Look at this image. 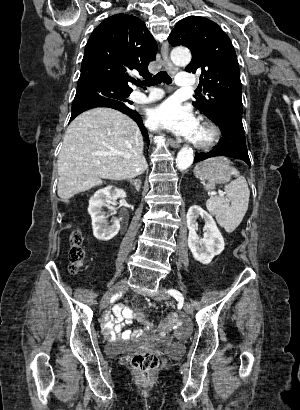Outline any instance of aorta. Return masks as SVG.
Wrapping results in <instances>:
<instances>
[{"label":"aorta","instance_id":"1","mask_svg":"<svg viewBox=\"0 0 300 410\" xmlns=\"http://www.w3.org/2000/svg\"><path fill=\"white\" fill-rule=\"evenodd\" d=\"M171 60L179 66H186L191 61V53L186 48H175L171 52ZM194 160L193 150L188 147H183L177 154L176 166L183 171L191 166Z\"/></svg>","mask_w":300,"mask_h":410}]
</instances>
